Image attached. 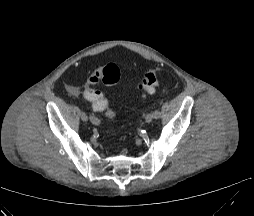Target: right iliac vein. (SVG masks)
I'll list each match as a JSON object with an SVG mask.
<instances>
[{"label":"right iliac vein","mask_w":254,"mask_h":216,"mask_svg":"<svg viewBox=\"0 0 254 216\" xmlns=\"http://www.w3.org/2000/svg\"><path fill=\"white\" fill-rule=\"evenodd\" d=\"M80 119L83 121V122H87L88 121V116L85 112H81L80 113Z\"/></svg>","instance_id":"63e3f726"}]
</instances>
